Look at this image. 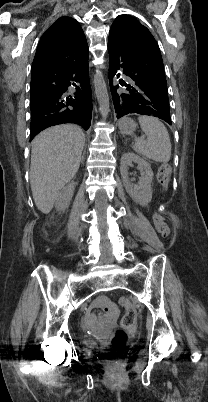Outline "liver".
Segmentation results:
<instances>
[{
	"label": "liver",
	"mask_w": 208,
	"mask_h": 402,
	"mask_svg": "<svg viewBox=\"0 0 208 402\" xmlns=\"http://www.w3.org/2000/svg\"><path fill=\"white\" fill-rule=\"evenodd\" d=\"M84 144L85 134L73 124L48 128L34 138L30 184L42 214L51 212L60 190L77 174Z\"/></svg>",
	"instance_id": "6515ba94"
}]
</instances>
